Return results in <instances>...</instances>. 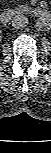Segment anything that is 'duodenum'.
Returning <instances> with one entry per match:
<instances>
[{
	"label": "duodenum",
	"instance_id": "duodenum-1",
	"mask_svg": "<svg viewBox=\"0 0 51 153\" xmlns=\"http://www.w3.org/2000/svg\"><path fill=\"white\" fill-rule=\"evenodd\" d=\"M19 12L13 9H5L0 14V21L3 24L9 23L12 18H14ZM25 15L34 17V18H49V12L43 7H34L24 12Z\"/></svg>",
	"mask_w": 51,
	"mask_h": 153
}]
</instances>
